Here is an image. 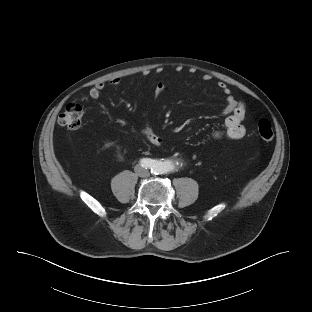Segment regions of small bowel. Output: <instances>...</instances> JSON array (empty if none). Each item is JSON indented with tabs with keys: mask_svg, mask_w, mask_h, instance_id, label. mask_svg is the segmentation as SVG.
I'll return each mask as SVG.
<instances>
[{
	"mask_svg": "<svg viewBox=\"0 0 312 312\" xmlns=\"http://www.w3.org/2000/svg\"><path fill=\"white\" fill-rule=\"evenodd\" d=\"M203 79L205 81L210 80V75H204ZM121 82L119 77L113 78L110 81V85L116 86ZM105 88V83L99 82L92 86L89 90V97L92 100H97L103 89ZM218 88L225 96L226 105L222 111V114L226 117L224 126L225 130L223 133H216L215 138L225 137L230 140H239L243 138L246 134V129L243 124L246 118L245 105L243 102L237 100L231 93L230 88L224 83L219 82ZM166 90V87L162 83H158L156 86V94L159 95ZM143 134L147 140L154 146H160L162 144V139L157 135L149 124H146L142 130Z\"/></svg>",
	"mask_w": 312,
	"mask_h": 312,
	"instance_id": "obj_1",
	"label": "small bowel"
}]
</instances>
